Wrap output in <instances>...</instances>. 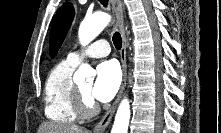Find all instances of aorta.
<instances>
[{"instance_id": "762f6f07", "label": "aorta", "mask_w": 221, "mask_h": 133, "mask_svg": "<svg viewBox=\"0 0 221 133\" xmlns=\"http://www.w3.org/2000/svg\"><path fill=\"white\" fill-rule=\"evenodd\" d=\"M110 20V15L104 12L86 17L81 22L78 31L80 43L85 46L94 40L109 24ZM94 75V69L89 64L83 63L75 72L74 81H84L86 79L87 82H92ZM130 115L131 111L129 100L124 98L117 109L111 133H128Z\"/></svg>"}]
</instances>
